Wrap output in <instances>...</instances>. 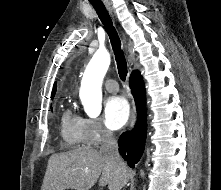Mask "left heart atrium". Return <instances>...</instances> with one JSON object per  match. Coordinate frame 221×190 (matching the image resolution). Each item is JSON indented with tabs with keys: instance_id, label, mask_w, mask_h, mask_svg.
<instances>
[{
	"instance_id": "obj_1",
	"label": "left heart atrium",
	"mask_w": 221,
	"mask_h": 190,
	"mask_svg": "<svg viewBox=\"0 0 221 190\" xmlns=\"http://www.w3.org/2000/svg\"><path fill=\"white\" fill-rule=\"evenodd\" d=\"M130 116L128 102L121 96L107 99L104 108V120L110 129H119L126 124Z\"/></svg>"
}]
</instances>
